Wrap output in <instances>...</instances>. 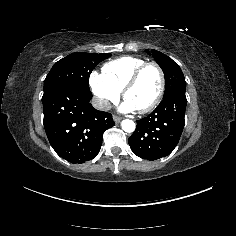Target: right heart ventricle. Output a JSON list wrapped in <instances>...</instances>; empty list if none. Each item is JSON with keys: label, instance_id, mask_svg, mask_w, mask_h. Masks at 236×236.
Wrapping results in <instances>:
<instances>
[{"label": "right heart ventricle", "instance_id": "right-heart-ventricle-1", "mask_svg": "<svg viewBox=\"0 0 236 236\" xmlns=\"http://www.w3.org/2000/svg\"><path fill=\"white\" fill-rule=\"evenodd\" d=\"M146 62L140 57L122 56L105 63L101 74L116 91L122 92L126 81L135 69Z\"/></svg>", "mask_w": 236, "mask_h": 236}]
</instances>
